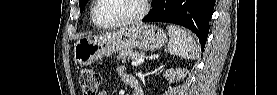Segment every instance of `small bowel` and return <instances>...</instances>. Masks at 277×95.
<instances>
[{
	"label": "small bowel",
	"instance_id": "1",
	"mask_svg": "<svg viewBox=\"0 0 277 95\" xmlns=\"http://www.w3.org/2000/svg\"><path fill=\"white\" fill-rule=\"evenodd\" d=\"M117 72L120 74V76H122L126 81H130L132 78L127 74L125 68L123 67H118L117 68ZM100 95H106V92L105 91H101L99 93Z\"/></svg>",
	"mask_w": 277,
	"mask_h": 95
}]
</instances>
